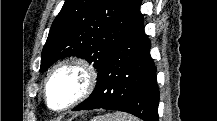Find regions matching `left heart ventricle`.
I'll list each match as a JSON object with an SVG mask.
<instances>
[{"label":"left heart ventricle","instance_id":"left-heart-ventricle-1","mask_svg":"<svg viewBox=\"0 0 217 121\" xmlns=\"http://www.w3.org/2000/svg\"><path fill=\"white\" fill-rule=\"evenodd\" d=\"M83 77L78 71L69 69L58 73L49 87L50 103L55 108L68 104L82 89Z\"/></svg>","mask_w":217,"mask_h":121}]
</instances>
